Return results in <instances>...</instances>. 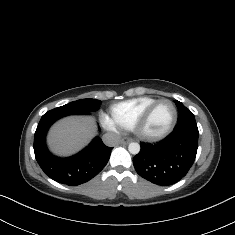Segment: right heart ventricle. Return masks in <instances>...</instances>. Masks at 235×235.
<instances>
[{
  "instance_id": "1",
  "label": "right heart ventricle",
  "mask_w": 235,
  "mask_h": 235,
  "mask_svg": "<svg viewBox=\"0 0 235 235\" xmlns=\"http://www.w3.org/2000/svg\"><path fill=\"white\" fill-rule=\"evenodd\" d=\"M155 100H157V98L148 95L113 104L110 107L112 119L119 127L126 130H132L134 123Z\"/></svg>"
}]
</instances>
